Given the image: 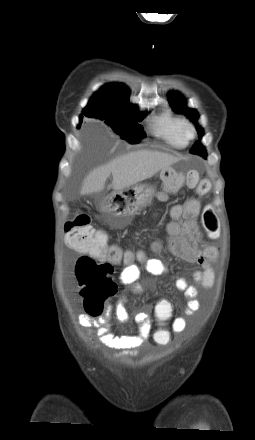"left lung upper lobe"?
<instances>
[{
	"instance_id": "left-lung-upper-lobe-1",
	"label": "left lung upper lobe",
	"mask_w": 255,
	"mask_h": 440,
	"mask_svg": "<svg viewBox=\"0 0 255 440\" xmlns=\"http://www.w3.org/2000/svg\"><path fill=\"white\" fill-rule=\"evenodd\" d=\"M169 104L173 108L174 111H176L178 113L185 114L191 121H193L195 123L197 122V120L199 118L198 113L196 112V110L188 108L186 106V101L180 93H178V92L170 93L169 94ZM196 129L198 131L199 137L201 138L203 135V129L199 125L196 126ZM190 152L193 154L200 155L204 159H206V157H207L206 150L200 141H197L193 145Z\"/></svg>"
}]
</instances>
